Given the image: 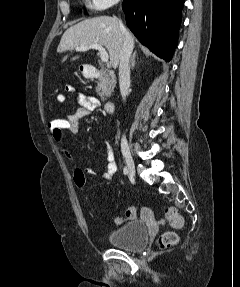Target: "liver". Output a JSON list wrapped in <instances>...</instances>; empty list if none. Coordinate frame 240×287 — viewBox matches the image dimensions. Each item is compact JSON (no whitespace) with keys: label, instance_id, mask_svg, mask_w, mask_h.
Instances as JSON below:
<instances>
[{"label":"liver","instance_id":"6515ba94","mask_svg":"<svg viewBox=\"0 0 240 287\" xmlns=\"http://www.w3.org/2000/svg\"><path fill=\"white\" fill-rule=\"evenodd\" d=\"M130 36L134 40V36L132 34ZM91 44L105 46L108 50L112 66L114 68L117 67L123 44V36L118 20L110 16H100L86 19L71 26L63 34L57 51L61 53ZM78 58L76 56L72 60Z\"/></svg>","mask_w":240,"mask_h":287}]
</instances>
